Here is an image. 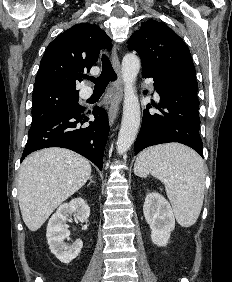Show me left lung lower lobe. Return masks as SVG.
Returning a JSON list of instances; mask_svg holds the SVG:
<instances>
[{"label": "left lung lower lobe", "mask_w": 232, "mask_h": 282, "mask_svg": "<svg viewBox=\"0 0 232 282\" xmlns=\"http://www.w3.org/2000/svg\"><path fill=\"white\" fill-rule=\"evenodd\" d=\"M142 75L144 78H153L160 103L159 106L152 105L160 113H150V104L144 110L142 126L135 142V155L152 145L178 142L191 147L203 157L197 81L185 77H157L149 73Z\"/></svg>", "instance_id": "0a47b994"}]
</instances>
